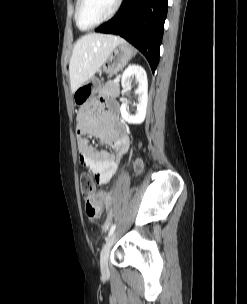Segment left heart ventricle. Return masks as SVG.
I'll return each mask as SVG.
<instances>
[{
  "label": "left heart ventricle",
  "instance_id": "left-heart-ventricle-1",
  "mask_svg": "<svg viewBox=\"0 0 247 304\" xmlns=\"http://www.w3.org/2000/svg\"><path fill=\"white\" fill-rule=\"evenodd\" d=\"M116 0H84L80 21L83 27L95 25L114 9Z\"/></svg>",
  "mask_w": 247,
  "mask_h": 304
}]
</instances>
